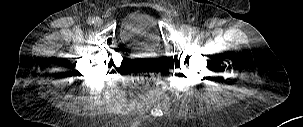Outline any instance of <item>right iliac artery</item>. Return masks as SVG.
Returning <instances> with one entry per match:
<instances>
[{
    "mask_svg": "<svg viewBox=\"0 0 303 127\" xmlns=\"http://www.w3.org/2000/svg\"><path fill=\"white\" fill-rule=\"evenodd\" d=\"M87 23L90 24V25L93 24L94 23V19L93 18H88L87 19Z\"/></svg>",
    "mask_w": 303,
    "mask_h": 127,
    "instance_id": "right-iliac-artery-1",
    "label": "right iliac artery"
}]
</instances>
